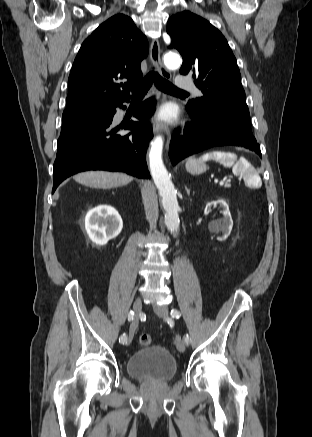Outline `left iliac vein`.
Returning <instances> with one entry per match:
<instances>
[{
  "instance_id": "obj_1",
  "label": "left iliac vein",
  "mask_w": 312,
  "mask_h": 437,
  "mask_svg": "<svg viewBox=\"0 0 312 437\" xmlns=\"http://www.w3.org/2000/svg\"><path fill=\"white\" fill-rule=\"evenodd\" d=\"M155 313L161 317L166 318L168 316V307L166 305H153ZM176 347L179 352H184L186 349V344L183 339H181L179 336L176 338Z\"/></svg>"
}]
</instances>
